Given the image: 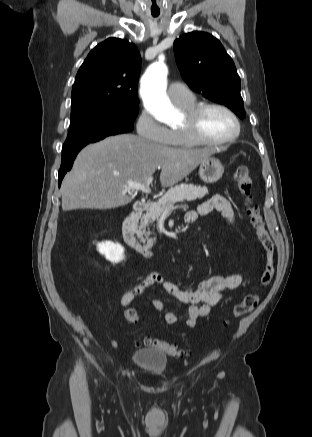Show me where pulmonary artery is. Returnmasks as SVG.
Listing matches in <instances>:
<instances>
[{"mask_svg":"<svg viewBox=\"0 0 312 437\" xmlns=\"http://www.w3.org/2000/svg\"><path fill=\"white\" fill-rule=\"evenodd\" d=\"M167 93L171 101L175 104L186 103L193 97L190 90L184 84L178 82L171 83Z\"/></svg>","mask_w":312,"mask_h":437,"instance_id":"obj_1","label":"pulmonary artery"}]
</instances>
